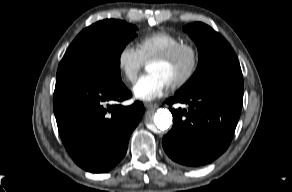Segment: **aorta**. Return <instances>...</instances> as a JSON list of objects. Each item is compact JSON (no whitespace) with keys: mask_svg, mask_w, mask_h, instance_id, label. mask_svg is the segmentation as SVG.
<instances>
[{"mask_svg":"<svg viewBox=\"0 0 292 192\" xmlns=\"http://www.w3.org/2000/svg\"><path fill=\"white\" fill-rule=\"evenodd\" d=\"M154 124L160 131L167 130L172 124V115L167 109H159L153 117Z\"/></svg>","mask_w":292,"mask_h":192,"instance_id":"aorta-1","label":"aorta"}]
</instances>
